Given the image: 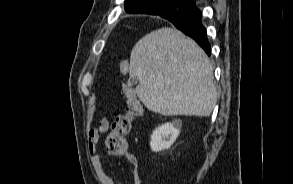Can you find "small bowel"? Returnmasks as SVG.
<instances>
[{
	"label": "small bowel",
	"instance_id": "1",
	"mask_svg": "<svg viewBox=\"0 0 293 184\" xmlns=\"http://www.w3.org/2000/svg\"><path fill=\"white\" fill-rule=\"evenodd\" d=\"M109 120L106 117L100 119L98 125L91 129L88 133V148L92 156V163L95 171L98 174L99 181L101 184H124L122 182H115V180L108 176L103 167V163L98 151V141L100 136L108 131L109 129ZM127 163L129 167V173L132 179L133 184H141L138 164L136 160L132 157H127Z\"/></svg>",
	"mask_w": 293,
	"mask_h": 184
}]
</instances>
